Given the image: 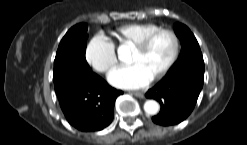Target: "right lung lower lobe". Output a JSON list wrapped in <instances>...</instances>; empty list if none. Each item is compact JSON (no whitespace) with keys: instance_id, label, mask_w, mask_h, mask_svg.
<instances>
[{"instance_id":"right-lung-lower-lobe-1","label":"right lung lower lobe","mask_w":247,"mask_h":145,"mask_svg":"<svg viewBox=\"0 0 247 145\" xmlns=\"http://www.w3.org/2000/svg\"><path fill=\"white\" fill-rule=\"evenodd\" d=\"M55 92L68 122L80 131H97L113 119L116 98L123 94L83 68L70 69L54 77Z\"/></svg>"}]
</instances>
